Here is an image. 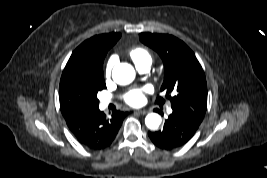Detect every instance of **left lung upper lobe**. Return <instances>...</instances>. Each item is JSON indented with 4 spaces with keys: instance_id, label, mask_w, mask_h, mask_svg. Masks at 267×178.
<instances>
[{
    "instance_id": "left-lung-upper-lobe-1",
    "label": "left lung upper lobe",
    "mask_w": 267,
    "mask_h": 178,
    "mask_svg": "<svg viewBox=\"0 0 267 178\" xmlns=\"http://www.w3.org/2000/svg\"><path fill=\"white\" fill-rule=\"evenodd\" d=\"M140 41L155 50L164 64V82L156 103L165 99L178 109L202 122L207 109V83L193 51L178 38L167 34L140 33Z\"/></svg>"
}]
</instances>
